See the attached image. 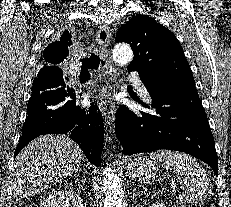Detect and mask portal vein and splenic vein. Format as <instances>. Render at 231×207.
Masks as SVG:
<instances>
[{"instance_id": "18ae733b", "label": "portal vein and splenic vein", "mask_w": 231, "mask_h": 207, "mask_svg": "<svg viewBox=\"0 0 231 207\" xmlns=\"http://www.w3.org/2000/svg\"><path fill=\"white\" fill-rule=\"evenodd\" d=\"M172 188H173V189H175V188H176V186L173 184V185H172Z\"/></svg>"}]
</instances>
